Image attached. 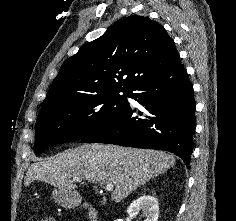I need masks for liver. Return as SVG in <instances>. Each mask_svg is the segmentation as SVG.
Wrapping results in <instances>:
<instances>
[{
	"label": "liver",
	"instance_id": "liver-1",
	"mask_svg": "<svg viewBox=\"0 0 236 221\" xmlns=\"http://www.w3.org/2000/svg\"><path fill=\"white\" fill-rule=\"evenodd\" d=\"M175 164L174 156L162 151L114 145L85 144L32 164L25 184L42 181L76 192L73 178L113 185V202H120L149 180Z\"/></svg>",
	"mask_w": 236,
	"mask_h": 221
}]
</instances>
